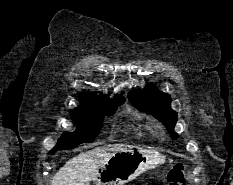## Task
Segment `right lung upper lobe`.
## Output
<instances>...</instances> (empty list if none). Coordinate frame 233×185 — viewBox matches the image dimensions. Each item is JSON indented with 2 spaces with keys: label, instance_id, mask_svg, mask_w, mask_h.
<instances>
[{
  "label": "right lung upper lobe",
  "instance_id": "cb5924a9",
  "mask_svg": "<svg viewBox=\"0 0 233 185\" xmlns=\"http://www.w3.org/2000/svg\"><path fill=\"white\" fill-rule=\"evenodd\" d=\"M82 106L80 108L93 107L106 102H119L125 101V98L121 95H117L114 99H109L103 96H97L95 94H84L82 95Z\"/></svg>",
  "mask_w": 233,
  "mask_h": 185
}]
</instances>
